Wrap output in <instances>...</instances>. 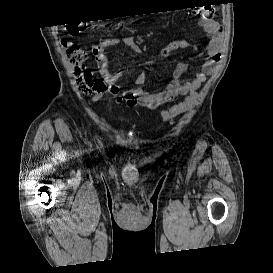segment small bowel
<instances>
[{"instance_id": "obj_1", "label": "small bowel", "mask_w": 273, "mask_h": 273, "mask_svg": "<svg viewBox=\"0 0 273 273\" xmlns=\"http://www.w3.org/2000/svg\"><path fill=\"white\" fill-rule=\"evenodd\" d=\"M200 27L209 35L207 45L208 59L204 62L201 70L189 80L182 81L181 78L187 70L186 63H179L176 66L175 77L166 87L158 92L146 91L143 85L148 81L149 64H146L145 70L136 78V86L127 89L121 93L118 82L122 77V72L111 73L108 69V56L105 49L120 43L118 38H103L91 49L95 57L99 73L109 86V93L115 103L125 105L129 108L144 107L150 110L158 109L165 103L176 100L179 96L194 93L199 86L212 75L215 71L222 51V27L212 18L209 11L200 14ZM124 47L133 53H140L141 50L133 37H125L122 40ZM181 49H191L196 51L197 47L184 39H177L164 46L159 55L162 58L168 57L172 52Z\"/></svg>"}]
</instances>
